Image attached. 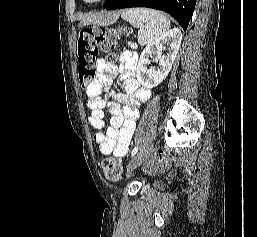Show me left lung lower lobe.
<instances>
[{
    "instance_id": "obj_1",
    "label": "left lung lower lobe",
    "mask_w": 257,
    "mask_h": 237,
    "mask_svg": "<svg viewBox=\"0 0 257 237\" xmlns=\"http://www.w3.org/2000/svg\"><path fill=\"white\" fill-rule=\"evenodd\" d=\"M196 0H108L104 8L116 10L131 7H148L169 13L186 30L192 17Z\"/></svg>"
}]
</instances>
